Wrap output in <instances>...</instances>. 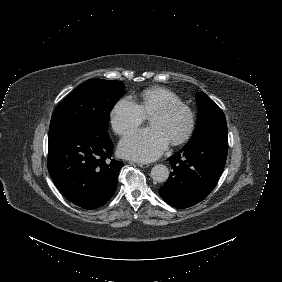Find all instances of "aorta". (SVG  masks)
Instances as JSON below:
<instances>
[{
	"instance_id": "1",
	"label": "aorta",
	"mask_w": 282,
	"mask_h": 282,
	"mask_svg": "<svg viewBox=\"0 0 282 282\" xmlns=\"http://www.w3.org/2000/svg\"><path fill=\"white\" fill-rule=\"evenodd\" d=\"M151 177L154 181L162 183L168 179L169 170L165 165L157 164L151 170Z\"/></svg>"
}]
</instances>
